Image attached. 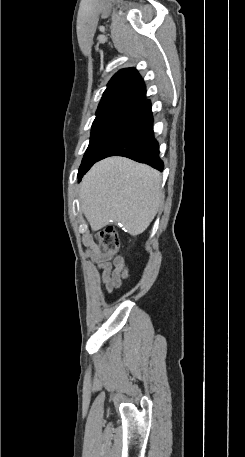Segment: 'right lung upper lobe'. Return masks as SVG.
<instances>
[{
  "label": "right lung upper lobe",
  "instance_id": "obj_1",
  "mask_svg": "<svg viewBox=\"0 0 245 457\" xmlns=\"http://www.w3.org/2000/svg\"><path fill=\"white\" fill-rule=\"evenodd\" d=\"M146 88L139 73L133 68L122 69L107 85L97 113L130 112L145 100Z\"/></svg>",
  "mask_w": 245,
  "mask_h": 457
}]
</instances>
